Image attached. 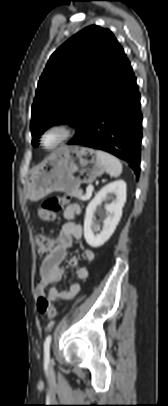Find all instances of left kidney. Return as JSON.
<instances>
[{
  "label": "left kidney",
  "instance_id": "left-kidney-1",
  "mask_svg": "<svg viewBox=\"0 0 168 406\" xmlns=\"http://www.w3.org/2000/svg\"><path fill=\"white\" fill-rule=\"evenodd\" d=\"M109 200H111V202L105 204V211L98 210V206H100L103 201ZM125 202V181L117 180L101 188L86 208L84 238L88 245L93 248H98L109 240L121 219L122 208ZM95 214H98L102 219V230H100L101 221L96 220Z\"/></svg>",
  "mask_w": 168,
  "mask_h": 406
}]
</instances>
